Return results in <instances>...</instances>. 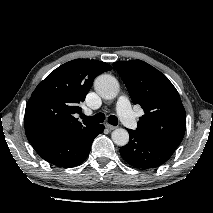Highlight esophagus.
Returning <instances> with one entry per match:
<instances>
[{
    "mask_svg": "<svg viewBox=\"0 0 213 213\" xmlns=\"http://www.w3.org/2000/svg\"><path fill=\"white\" fill-rule=\"evenodd\" d=\"M105 126L108 130H114V129L117 128L116 126H113V125H110V124H106Z\"/></svg>",
    "mask_w": 213,
    "mask_h": 213,
    "instance_id": "34e87169",
    "label": "esophagus"
}]
</instances>
